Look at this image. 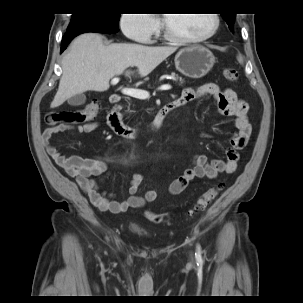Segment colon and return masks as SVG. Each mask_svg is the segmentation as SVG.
Wrapping results in <instances>:
<instances>
[{"instance_id": "obj_1", "label": "colon", "mask_w": 303, "mask_h": 303, "mask_svg": "<svg viewBox=\"0 0 303 303\" xmlns=\"http://www.w3.org/2000/svg\"><path fill=\"white\" fill-rule=\"evenodd\" d=\"M224 77L229 81H236L238 79V71L235 68H225L223 70ZM99 105L96 101L91 102L81 110H64V111H49L45 115V123L49 126H55L61 123H87L93 119L97 113ZM222 185L209 188L202 194L189 210V215H194L204 211L207 206L217 197L222 189ZM145 216L148 220L154 223H162L167 221L166 214H159L153 212H146Z\"/></svg>"}]
</instances>
